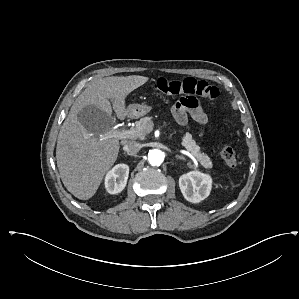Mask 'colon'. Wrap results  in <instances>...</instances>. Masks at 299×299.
<instances>
[{
	"mask_svg": "<svg viewBox=\"0 0 299 299\" xmlns=\"http://www.w3.org/2000/svg\"><path fill=\"white\" fill-rule=\"evenodd\" d=\"M154 89L166 95H182L183 97L200 96L215 101L219 96L217 87L203 80L186 78L183 80H169L159 78L154 83ZM221 157L230 167L238 163L236 153L230 145H224L221 149Z\"/></svg>",
	"mask_w": 299,
	"mask_h": 299,
	"instance_id": "obj_1",
	"label": "colon"
}]
</instances>
